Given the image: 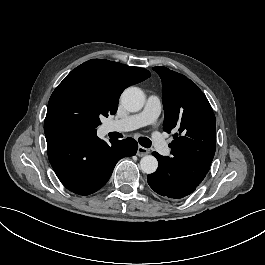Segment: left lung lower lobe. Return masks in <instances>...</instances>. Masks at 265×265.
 Returning <instances> with one entry per match:
<instances>
[{
    "label": "left lung lower lobe",
    "mask_w": 265,
    "mask_h": 265,
    "mask_svg": "<svg viewBox=\"0 0 265 265\" xmlns=\"http://www.w3.org/2000/svg\"><path fill=\"white\" fill-rule=\"evenodd\" d=\"M158 160L156 172L147 176L148 184L157 194L172 198H183L196 190L199 185L180 169L167 162L164 156L153 152Z\"/></svg>",
    "instance_id": "obj_1"
}]
</instances>
